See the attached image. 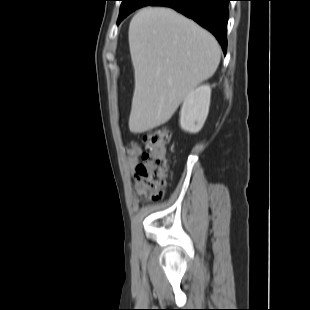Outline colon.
I'll return each instance as SVG.
<instances>
[{
    "label": "colon",
    "instance_id": "1",
    "mask_svg": "<svg viewBox=\"0 0 310 310\" xmlns=\"http://www.w3.org/2000/svg\"><path fill=\"white\" fill-rule=\"evenodd\" d=\"M171 131L161 127L147 132L143 141V163L136 168L135 190L144 199L156 201L162 197L169 170L168 144Z\"/></svg>",
    "mask_w": 310,
    "mask_h": 310
}]
</instances>
